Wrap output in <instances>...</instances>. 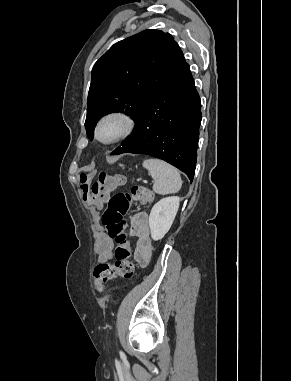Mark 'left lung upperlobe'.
<instances>
[{"label":"left lung upper lobe","mask_w":291,"mask_h":381,"mask_svg":"<svg viewBox=\"0 0 291 381\" xmlns=\"http://www.w3.org/2000/svg\"><path fill=\"white\" fill-rule=\"evenodd\" d=\"M185 62L169 33L149 29L114 44L93 66L85 127L93 138L105 114L124 112L138 119L149 99Z\"/></svg>","instance_id":"left-lung-upper-lobe-1"}]
</instances>
